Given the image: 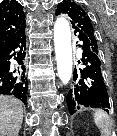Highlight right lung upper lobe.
<instances>
[{
	"mask_svg": "<svg viewBox=\"0 0 117 136\" xmlns=\"http://www.w3.org/2000/svg\"><path fill=\"white\" fill-rule=\"evenodd\" d=\"M24 22L23 7L17 1H3L0 3V47Z\"/></svg>",
	"mask_w": 117,
	"mask_h": 136,
	"instance_id": "obj_1",
	"label": "right lung upper lobe"
}]
</instances>
